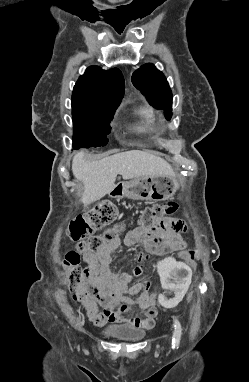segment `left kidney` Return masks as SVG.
<instances>
[{
  "instance_id": "obj_1",
  "label": "left kidney",
  "mask_w": 249,
  "mask_h": 382,
  "mask_svg": "<svg viewBox=\"0 0 249 382\" xmlns=\"http://www.w3.org/2000/svg\"><path fill=\"white\" fill-rule=\"evenodd\" d=\"M186 266L180 260L166 258L158 263V272L164 292L158 298V306L163 309H176L177 305L187 297L191 283V270H184Z\"/></svg>"
}]
</instances>
